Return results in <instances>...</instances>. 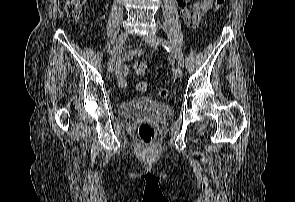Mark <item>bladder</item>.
Wrapping results in <instances>:
<instances>
[{
    "instance_id": "bladder-1",
    "label": "bladder",
    "mask_w": 295,
    "mask_h": 202,
    "mask_svg": "<svg viewBox=\"0 0 295 202\" xmlns=\"http://www.w3.org/2000/svg\"><path fill=\"white\" fill-rule=\"evenodd\" d=\"M120 115L128 118L144 116L162 121L170 119L173 115V110L166 103L149 98H138L122 103Z\"/></svg>"
}]
</instances>
